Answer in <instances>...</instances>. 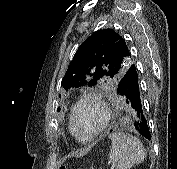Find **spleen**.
Wrapping results in <instances>:
<instances>
[{"label": "spleen", "mask_w": 177, "mask_h": 169, "mask_svg": "<svg viewBox=\"0 0 177 169\" xmlns=\"http://www.w3.org/2000/svg\"><path fill=\"white\" fill-rule=\"evenodd\" d=\"M111 149L109 161L116 169H131L144 161L145 151L141 141L128 133L114 132L109 135Z\"/></svg>", "instance_id": "1"}]
</instances>
